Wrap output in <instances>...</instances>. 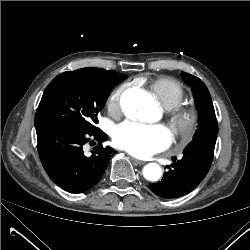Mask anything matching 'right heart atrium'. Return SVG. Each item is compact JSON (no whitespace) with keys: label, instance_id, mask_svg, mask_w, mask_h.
<instances>
[{"label":"right heart atrium","instance_id":"d8ad5b80","mask_svg":"<svg viewBox=\"0 0 250 250\" xmlns=\"http://www.w3.org/2000/svg\"><path fill=\"white\" fill-rule=\"evenodd\" d=\"M123 88L118 87L114 89L111 94L109 95L107 99V108L109 112L117 116L122 112V106H121V96H122Z\"/></svg>","mask_w":250,"mask_h":250}]
</instances>
